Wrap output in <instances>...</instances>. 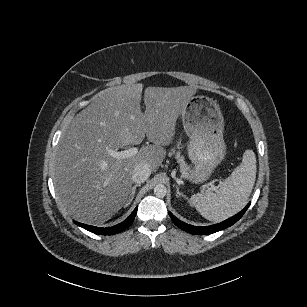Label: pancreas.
Instances as JSON below:
<instances>
[{
	"label": "pancreas",
	"mask_w": 307,
	"mask_h": 307,
	"mask_svg": "<svg viewBox=\"0 0 307 307\" xmlns=\"http://www.w3.org/2000/svg\"><path fill=\"white\" fill-rule=\"evenodd\" d=\"M175 151L173 150L169 155H172ZM175 158L177 159V162L180 165V172L181 177L188 179L189 178V172H190V166L187 165L184 161V157L180 155V152H176Z\"/></svg>",
	"instance_id": "pancreas-1"
}]
</instances>
